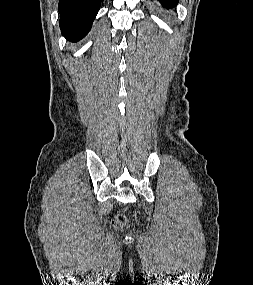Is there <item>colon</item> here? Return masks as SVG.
Listing matches in <instances>:
<instances>
[{
	"mask_svg": "<svg viewBox=\"0 0 253 285\" xmlns=\"http://www.w3.org/2000/svg\"><path fill=\"white\" fill-rule=\"evenodd\" d=\"M128 222V218L125 214H119L116 216L113 225L116 228H122L124 227Z\"/></svg>",
	"mask_w": 253,
	"mask_h": 285,
	"instance_id": "1",
	"label": "colon"
}]
</instances>
